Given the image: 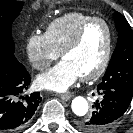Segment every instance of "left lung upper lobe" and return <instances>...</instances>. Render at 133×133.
<instances>
[{
	"instance_id": "left-lung-upper-lobe-1",
	"label": "left lung upper lobe",
	"mask_w": 133,
	"mask_h": 133,
	"mask_svg": "<svg viewBox=\"0 0 133 133\" xmlns=\"http://www.w3.org/2000/svg\"><path fill=\"white\" fill-rule=\"evenodd\" d=\"M114 21L118 31V41L97 91L117 89L133 95V30L119 12L114 13ZM87 120L88 117L80 120L79 127L81 129H90L85 123Z\"/></svg>"
}]
</instances>
